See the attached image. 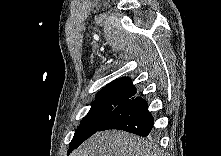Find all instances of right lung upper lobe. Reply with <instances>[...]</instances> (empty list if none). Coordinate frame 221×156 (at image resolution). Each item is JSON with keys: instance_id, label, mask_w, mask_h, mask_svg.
Listing matches in <instances>:
<instances>
[{"instance_id": "cb5924a9", "label": "right lung upper lobe", "mask_w": 221, "mask_h": 156, "mask_svg": "<svg viewBox=\"0 0 221 156\" xmlns=\"http://www.w3.org/2000/svg\"><path fill=\"white\" fill-rule=\"evenodd\" d=\"M136 94V88L133 86L131 79L123 77L116 79L106 85L98 93L96 98L101 99H119L126 101Z\"/></svg>"}]
</instances>
